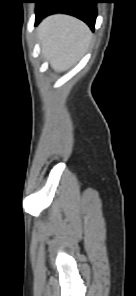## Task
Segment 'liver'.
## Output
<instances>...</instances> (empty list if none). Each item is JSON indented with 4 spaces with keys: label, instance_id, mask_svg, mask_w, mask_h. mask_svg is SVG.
Instances as JSON below:
<instances>
[{
    "label": "liver",
    "instance_id": "liver-1",
    "mask_svg": "<svg viewBox=\"0 0 136 296\" xmlns=\"http://www.w3.org/2000/svg\"><path fill=\"white\" fill-rule=\"evenodd\" d=\"M38 38L43 56L56 72L69 70L87 50L91 32L88 26L75 17L54 14L38 27Z\"/></svg>",
    "mask_w": 136,
    "mask_h": 296
}]
</instances>
